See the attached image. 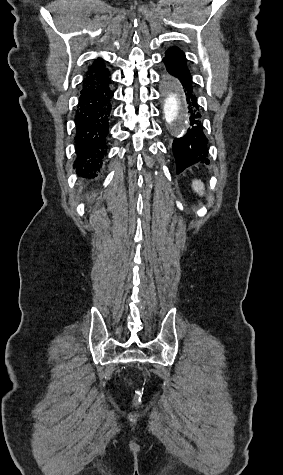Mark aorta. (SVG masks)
Wrapping results in <instances>:
<instances>
[{"instance_id":"1","label":"aorta","mask_w":283,"mask_h":475,"mask_svg":"<svg viewBox=\"0 0 283 475\" xmlns=\"http://www.w3.org/2000/svg\"><path fill=\"white\" fill-rule=\"evenodd\" d=\"M164 116L167 124L183 134L188 128L189 116L183 99L182 89L176 80L165 78Z\"/></svg>"}]
</instances>
